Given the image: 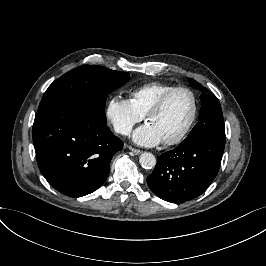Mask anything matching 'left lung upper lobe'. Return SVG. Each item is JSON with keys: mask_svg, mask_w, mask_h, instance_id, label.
I'll return each mask as SVG.
<instances>
[{"mask_svg": "<svg viewBox=\"0 0 266 266\" xmlns=\"http://www.w3.org/2000/svg\"><path fill=\"white\" fill-rule=\"evenodd\" d=\"M190 85L203 93L201 94V110L198 123L181 143H188L203 136H219L225 138V126L222 109L218 98L207 94V89L193 79H189Z\"/></svg>", "mask_w": 266, "mask_h": 266, "instance_id": "left-lung-upper-lobe-1", "label": "left lung upper lobe"}]
</instances>
